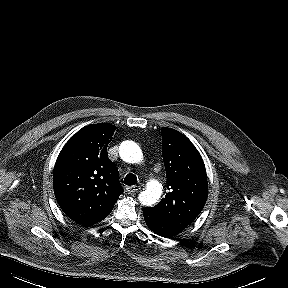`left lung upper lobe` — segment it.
Wrapping results in <instances>:
<instances>
[{"label": "left lung upper lobe", "instance_id": "obj_1", "mask_svg": "<svg viewBox=\"0 0 288 288\" xmlns=\"http://www.w3.org/2000/svg\"><path fill=\"white\" fill-rule=\"evenodd\" d=\"M162 155L169 192L149 212L185 229L202 211L208 196L204 162L192 142L172 128H161Z\"/></svg>", "mask_w": 288, "mask_h": 288}]
</instances>
